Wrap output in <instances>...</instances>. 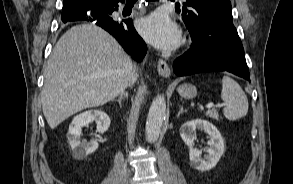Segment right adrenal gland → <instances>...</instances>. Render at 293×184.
Here are the masks:
<instances>
[{
  "mask_svg": "<svg viewBox=\"0 0 293 184\" xmlns=\"http://www.w3.org/2000/svg\"><path fill=\"white\" fill-rule=\"evenodd\" d=\"M125 98H128L127 92L120 94L118 100H115V101H117L119 103L120 107H122V100Z\"/></svg>",
  "mask_w": 293,
  "mask_h": 184,
  "instance_id": "obj_1",
  "label": "right adrenal gland"
}]
</instances>
